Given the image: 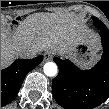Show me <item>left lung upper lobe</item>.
<instances>
[{"label":"left lung upper lobe","mask_w":109,"mask_h":109,"mask_svg":"<svg viewBox=\"0 0 109 109\" xmlns=\"http://www.w3.org/2000/svg\"><path fill=\"white\" fill-rule=\"evenodd\" d=\"M94 25L99 29V30H105L107 27L102 23L99 19L96 17H92Z\"/></svg>","instance_id":"5c2ea615"}]
</instances>
